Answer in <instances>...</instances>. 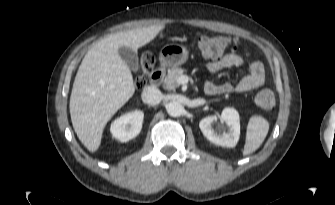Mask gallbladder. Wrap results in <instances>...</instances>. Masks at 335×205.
<instances>
[{"label":"gallbladder","mask_w":335,"mask_h":205,"mask_svg":"<svg viewBox=\"0 0 335 205\" xmlns=\"http://www.w3.org/2000/svg\"><path fill=\"white\" fill-rule=\"evenodd\" d=\"M118 53L132 71L137 72L139 70V59L135 49L121 46L118 49Z\"/></svg>","instance_id":"obj_1"}]
</instances>
